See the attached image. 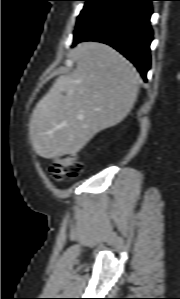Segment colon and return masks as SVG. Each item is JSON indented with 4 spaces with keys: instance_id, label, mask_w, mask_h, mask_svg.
<instances>
[{
    "instance_id": "colon-1",
    "label": "colon",
    "mask_w": 180,
    "mask_h": 299,
    "mask_svg": "<svg viewBox=\"0 0 180 299\" xmlns=\"http://www.w3.org/2000/svg\"><path fill=\"white\" fill-rule=\"evenodd\" d=\"M82 173V164L72 155H65L54 160L50 168L51 177L56 181L77 178Z\"/></svg>"
}]
</instances>
